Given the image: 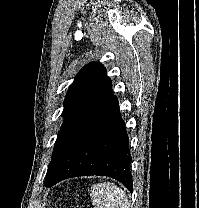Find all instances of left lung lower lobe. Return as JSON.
Segmentation results:
<instances>
[{"label":"left lung lower lobe","instance_id":"1","mask_svg":"<svg viewBox=\"0 0 199 208\" xmlns=\"http://www.w3.org/2000/svg\"><path fill=\"white\" fill-rule=\"evenodd\" d=\"M128 146L129 139L118 100L112 95L65 141L45 185L51 187L75 176L102 175L117 179L132 192Z\"/></svg>","mask_w":199,"mask_h":208}]
</instances>
